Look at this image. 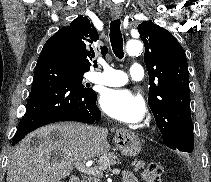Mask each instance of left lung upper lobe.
<instances>
[{"label": "left lung upper lobe", "instance_id": "1", "mask_svg": "<svg viewBox=\"0 0 211 182\" xmlns=\"http://www.w3.org/2000/svg\"><path fill=\"white\" fill-rule=\"evenodd\" d=\"M138 31L145 45L144 62L149 74L148 104L163 142L171 149L192 153L194 134L185 51L169 31L152 21H144Z\"/></svg>", "mask_w": 211, "mask_h": 182}]
</instances>
